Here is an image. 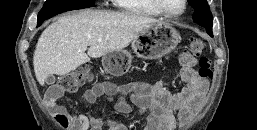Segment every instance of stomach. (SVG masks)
Masks as SVG:
<instances>
[{
    "label": "stomach",
    "mask_w": 257,
    "mask_h": 130,
    "mask_svg": "<svg viewBox=\"0 0 257 130\" xmlns=\"http://www.w3.org/2000/svg\"><path fill=\"white\" fill-rule=\"evenodd\" d=\"M142 35H147L149 43L143 44L138 38L132 42L135 54L143 59H158L172 52L180 41V35L173 26L167 22L156 24L145 31ZM132 62L131 54L126 50L109 52L102 57L104 70L115 76L125 74Z\"/></svg>",
    "instance_id": "0dacf381"
}]
</instances>
